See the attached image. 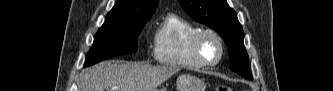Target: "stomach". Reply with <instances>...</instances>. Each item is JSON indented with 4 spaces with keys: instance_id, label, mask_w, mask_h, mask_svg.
I'll return each mask as SVG.
<instances>
[{
    "instance_id": "0dacf381",
    "label": "stomach",
    "mask_w": 333,
    "mask_h": 91,
    "mask_svg": "<svg viewBox=\"0 0 333 91\" xmlns=\"http://www.w3.org/2000/svg\"><path fill=\"white\" fill-rule=\"evenodd\" d=\"M177 91H204L205 83L203 80L192 75H181L176 81ZM165 91V90H156Z\"/></svg>"
}]
</instances>
